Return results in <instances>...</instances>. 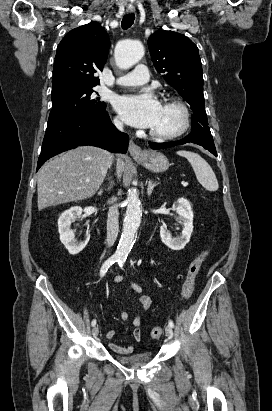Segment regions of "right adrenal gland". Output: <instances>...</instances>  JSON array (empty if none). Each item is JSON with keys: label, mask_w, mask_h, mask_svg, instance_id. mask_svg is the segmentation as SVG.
I'll return each instance as SVG.
<instances>
[{"label": "right adrenal gland", "mask_w": 272, "mask_h": 411, "mask_svg": "<svg viewBox=\"0 0 272 411\" xmlns=\"http://www.w3.org/2000/svg\"><path fill=\"white\" fill-rule=\"evenodd\" d=\"M102 193H103V191H102V190L98 191V194H99V195H101Z\"/></svg>", "instance_id": "obj_1"}]
</instances>
